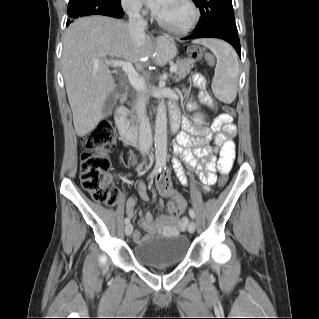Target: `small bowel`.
<instances>
[{"mask_svg": "<svg viewBox=\"0 0 319 319\" xmlns=\"http://www.w3.org/2000/svg\"><path fill=\"white\" fill-rule=\"evenodd\" d=\"M188 94V91L185 90ZM199 99L206 105H211L212 100L208 93L202 90L199 93ZM189 110H197L193 104L188 105ZM171 117L179 121V114L175 107L171 108ZM237 135V127L234 123V117L228 113L218 115L213 121L210 128L199 129L190 121H183V130L177 135L174 153L180 155L182 159L197 170L198 178L204 189L208 190L210 186L217 181L216 170L221 173L228 174L230 172L232 163L235 158V142L234 138ZM213 139L216 147H211L209 143ZM219 149V158L216 160L212 155ZM209 158L206 162L203 159ZM173 166L178 180L182 185H187V178L185 176L183 167L178 157H172ZM169 180L167 175H160L156 178L155 185L158 188L160 181ZM159 189V188H158ZM137 192L140 198L144 201L149 199L147 187L143 182L138 183ZM159 192L164 197L169 198L182 204V214L178 220H171L166 215H159L154 217L148 212L139 224L147 235H152L163 231L168 234H177L184 231L188 224L186 202L184 198L174 189L166 188L159 189ZM136 200L130 197L125 206L126 214L134 216ZM133 239L135 243L143 241V237L138 230L133 232Z\"/></svg>", "mask_w": 319, "mask_h": 319, "instance_id": "small-bowel-1", "label": "small bowel"}]
</instances>
